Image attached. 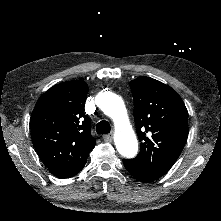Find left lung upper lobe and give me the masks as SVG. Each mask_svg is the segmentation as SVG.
I'll use <instances>...</instances> for the list:
<instances>
[{
    "label": "left lung upper lobe",
    "instance_id": "5c2ea615",
    "mask_svg": "<svg viewBox=\"0 0 221 221\" xmlns=\"http://www.w3.org/2000/svg\"><path fill=\"white\" fill-rule=\"evenodd\" d=\"M140 153L131 161L160 177L179 157L188 136V111L179 94L150 77L130 82Z\"/></svg>",
    "mask_w": 221,
    "mask_h": 221
}]
</instances>
